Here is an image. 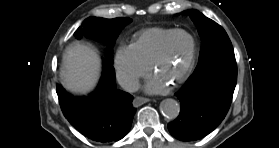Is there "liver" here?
Listing matches in <instances>:
<instances>
[{
    "label": "liver",
    "mask_w": 279,
    "mask_h": 148,
    "mask_svg": "<svg viewBox=\"0 0 279 148\" xmlns=\"http://www.w3.org/2000/svg\"><path fill=\"white\" fill-rule=\"evenodd\" d=\"M101 71V59L91 46L76 43L63 55L61 77L65 87L85 93L96 85Z\"/></svg>",
    "instance_id": "1"
}]
</instances>
